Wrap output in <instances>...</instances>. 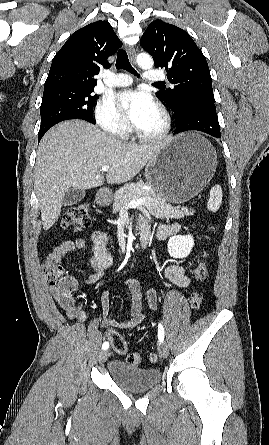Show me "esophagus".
<instances>
[{
    "instance_id": "1",
    "label": "esophagus",
    "mask_w": 269,
    "mask_h": 445,
    "mask_svg": "<svg viewBox=\"0 0 269 445\" xmlns=\"http://www.w3.org/2000/svg\"><path fill=\"white\" fill-rule=\"evenodd\" d=\"M127 52H128V54H129V57H130L131 61H132V62H135V59H136V52H135L134 48L131 47V46H128V47H127Z\"/></svg>"
}]
</instances>
